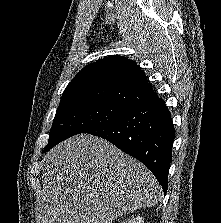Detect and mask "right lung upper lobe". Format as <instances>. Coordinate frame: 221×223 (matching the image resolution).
Here are the masks:
<instances>
[{
	"label": "right lung upper lobe",
	"instance_id": "1",
	"mask_svg": "<svg viewBox=\"0 0 221 223\" xmlns=\"http://www.w3.org/2000/svg\"><path fill=\"white\" fill-rule=\"evenodd\" d=\"M87 97L137 106L157 95L134 61L114 55L84 67L68 84L60 102Z\"/></svg>",
	"mask_w": 221,
	"mask_h": 223
}]
</instances>
